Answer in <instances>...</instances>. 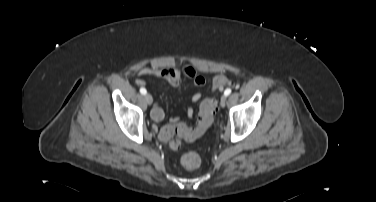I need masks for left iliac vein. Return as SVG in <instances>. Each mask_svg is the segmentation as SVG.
Listing matches in <instances>:
<instances>
[{
    "label": "left iliac vein",
    "mask_w": 376,
    "mask_h": 202,
    "mask_svg": "<svg viewBox=\"0 0 376 202\" xmlns=\"http://www.w3.org/2000/svg\"><path fill=\"white\" fill-rule=\"evenodd\" d=\"M227 96L223 95L220 100V106L224 107L226 105Z\"/></svg>",
    "instance_id": "1"
}]
</instances>
